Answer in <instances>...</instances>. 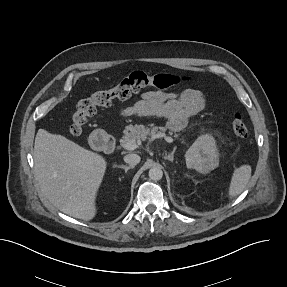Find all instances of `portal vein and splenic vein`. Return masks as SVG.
Listing matches in <instances>:
<instances>
[{"instance_id": "obj_1", "label": "portal vein and splenic vein", "mask_w": 287, "mask_h": 287, "mask_svg": "<svg viewBox=\"0 0 287 287\" xmlns=\"http://www.w3.org/2000/svg\"><path fill=\"white\" fill-rule=\"evenodd\" d=\"M161 137H163L166 142L173 143V139L171 137H169L165 134H162ZM123 147L126 150L132 151V150H135L137 148V144H136L135 140H131V141L127 142Z\"/></svg>"}]
</instances>
